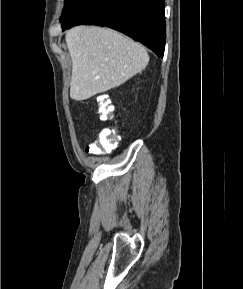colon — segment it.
Masks as SVG:
<instances>
[{
    "label": "colon",
    "mask_w": 243,
    "mask_h": 289,
    "mask_svg": "<svg viewBox=\"0 0 243 289\" xmlns=\"http://www.w3.org/2000/svg\"><path fill=\"white\" fill-rule=\"evenodd\" d=\"M114 107L105 95L97 98V113L101 120H108L113 117ZM118 129L114 127L104 128L93 142L88 145L87 151L92 154H100L112 151L118 143Z\"/></svg>",
    "instance_id": "5ec220e1"
}]
</instances>
